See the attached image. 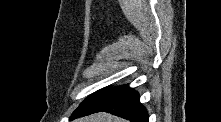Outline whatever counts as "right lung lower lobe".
<instances>
[{
  "mask_svg": "<svg viewBox=\"0 0 221 122\" xmlns=\"http://www.w3.org/2000/svg\"><path fill=\"white\" fill-rule=\"evenodd\" d=\"M101 111L129 119L131 122H148V113L140 103L138 93L127 85L105 90L85 100L73 112L71 119Z\"/></svg>",
  "mask_w": 221,
  "mask_h": 122,
  "instance_id": "obj_1",
  "label": "right lung lower lobe"
}]
</instances>
